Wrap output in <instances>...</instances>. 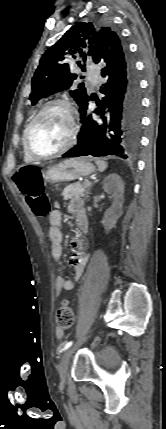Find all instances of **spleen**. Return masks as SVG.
<instances>
[{
  "mask_svg": "<svg viewBox=\"0 0 166 429\" xmlns=\"http://www.w3.org/2000/svg\"><path fill=\"white\" fill-rule=\"evenodd\" d=\"M96 164L98 166L99 171L103 172L106 170L108 164L103 160H96Z\"/></svg>",
  "mask_w": 166,
  "mask_h": 429,
  "instance_id": "3e777b00",
  "label": "spleen"
}]
</instances>
